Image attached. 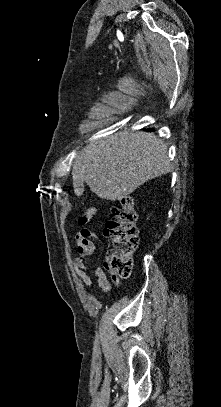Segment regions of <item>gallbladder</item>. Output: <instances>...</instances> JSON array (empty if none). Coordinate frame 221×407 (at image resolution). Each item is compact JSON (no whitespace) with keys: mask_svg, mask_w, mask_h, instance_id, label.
<instances>
[{"mask_svg":"<svg viewBox=\"0 0 221 407\" xmlns=\"http://www.w3.org/2000/svg\"><path fill=\"white\" fill-rule=\"evenodd\" d=\"M73 186L75 189V193L79 194L83 191L84 185H83V181L79 180V181H73Z\"/></svg>","mask_w":221,"mask_h":407,"instance_id":"gallbladder-1","label":"gallbladder"}]
</instances>
